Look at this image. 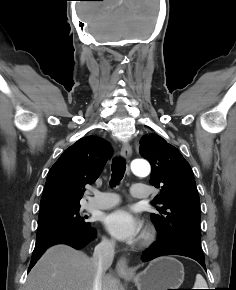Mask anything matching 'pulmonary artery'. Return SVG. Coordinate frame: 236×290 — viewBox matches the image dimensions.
I'll list each match as a JSON object with an SVG mask.
<instances>
[{
  "label": "pulmonary artery",
  "mask_w": 236,
  "mask_h": 290,
  "mask_svg": "<svg viewBox=\"0 0 236 290\" xmlns=\"http://www.w3.org/2000/svg\"><path fill=\"white\" fill-rule=\"evenodd\" d=\"M131 195L137 200L149 199L152 192L149 188L134 185L131 187ZM119 202V196L111 192H97L87 202V207L93 209H108L115 206Z\"/></svg>",
  "instance_id": "e3ab8cb5"
}]
</instances>
